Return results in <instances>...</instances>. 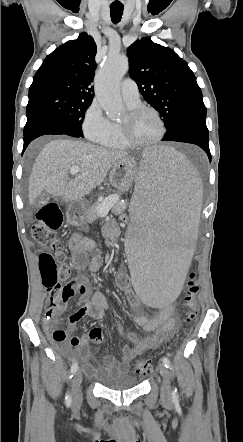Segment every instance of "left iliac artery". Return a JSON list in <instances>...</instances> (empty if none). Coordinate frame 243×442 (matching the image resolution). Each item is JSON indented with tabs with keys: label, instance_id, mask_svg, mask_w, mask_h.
<instances>
[{
	"label": "left iliac artery",
	"instance_id": "left-iliac-artery-1",
	"mask_svg": "<svg viewBox=\"0 0 243 442\" xmlns=\"http://www.w3.org/2000/svg\"><path fill=\"white\" fill-rule=\"evenodd\" d=\"M162 362L164 363L166 368H169V369L171 368L170 360L167 357H163ZM172 398H173V400L178 399V392H177L176 388L172 391Z\"/></svg>",
	"mask_w": 243,
	"mask_h": 442
}]
</instances>
